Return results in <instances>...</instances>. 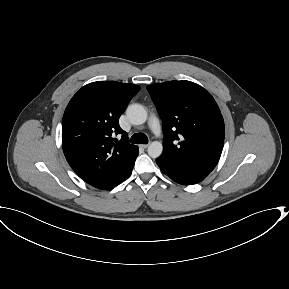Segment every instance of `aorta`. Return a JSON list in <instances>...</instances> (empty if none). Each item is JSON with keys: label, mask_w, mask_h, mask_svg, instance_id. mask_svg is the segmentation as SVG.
<instances>
[{"label": "aorta", "mask_w": 289, "mask_h": 289, "mask_svg": "<svg viewBox=\"0 0 289 289\" xmlns=\"http://www.w3.org/2000/svg\"><path fill=\"white\" fill-rule=\"evenodd\" d=\"M126 115L133 125H141L147 120V111L140 104H131L126 109ZM148 154L152 158H158L163 152V145L160 141H153L148 146Z\"/></svg>", "instance_id": "aorta-1"}]
</instances>
